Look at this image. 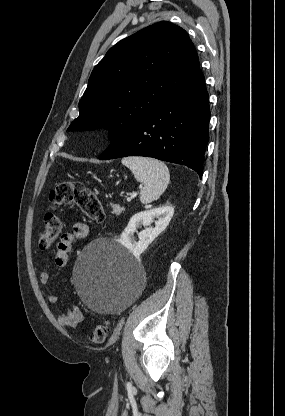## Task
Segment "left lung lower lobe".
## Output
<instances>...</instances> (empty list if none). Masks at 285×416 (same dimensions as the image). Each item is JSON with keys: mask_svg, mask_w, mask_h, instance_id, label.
<instances>
[{"mask_svg": "<svg viewBox=\"0 0 285 416\" xmlns=\"http://www.w3.org/2000/svg\"><path fill=\"white\" fill-rule=\"evenodd\" d=\"M209 119V97L199 69L171 98L115 139L99 159L153 157L186 165L201 177Z\"/></svg>", "mask_w": 285, "mask_h": 416, "instance_id": "left-lung-lower-lobe-1", "label": "left lung lower lobe"}]
</instances>
